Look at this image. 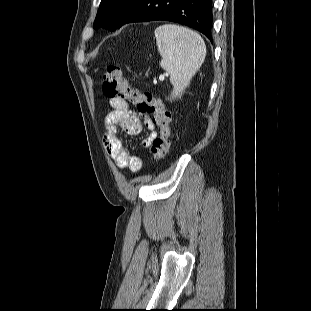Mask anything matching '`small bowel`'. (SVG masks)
Segmentation results:
<instances>
[{
	"label": "small bowel",
	"instance_id": "obj_1",
	"mask_svg": "<svg viewBox=\"0 0 311 311\" xmlns=\"http://www.w3.org/2000/svg\"><path fill=\"white\" fill-rule=\"evenodd\" d=\"M109 104L112 110L107 114L104 125L107 151L118 167L137 172L142 167V160L127 151L119 138V133L138 135L144 126L148 130V135L143 140V145L149 147L157 136L156 124L150 116L140 114L126 101L110 99Z\"/></svg>",
	"mask_w": 311,
	"mask_h": 311
}]
</instances>
